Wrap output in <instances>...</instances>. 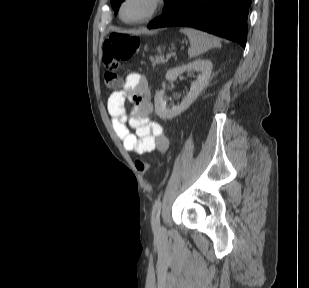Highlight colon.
<instances>
[{"instance_id":"5ec220e1","label":"colon","mask_w":309,"mask_h":288,"mask_svg":"<svg viewBox=\"0 0 309 288\" xmlns=\"http://www.w3.org/2000/svg\"><path fill=\"white\" fill-rule=\"evenodd\" d=\"M140 48V40L127 33H112L103 44L102 65L104 85L109 89H119L122 81L119 75L121 62L133 57ZM140 172H146L151 165L143 159L135 161Z\"/></svg>"}]
</instances>
